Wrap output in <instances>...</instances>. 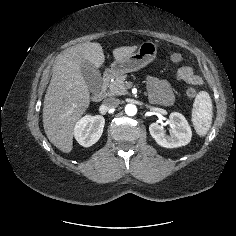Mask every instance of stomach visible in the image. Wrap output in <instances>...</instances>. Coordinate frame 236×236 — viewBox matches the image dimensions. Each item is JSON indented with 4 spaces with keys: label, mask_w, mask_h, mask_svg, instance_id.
<instances>
[{
    "label": "stomach",
    "mask_w": 236,
    "mask_h": 236,
    "mask_svg": "<svg viewBox=\"0 0 236 236\" xmlns=\"http://www.w3.org/2000/svg\"><path fill=\"white\" fill-rule=\"evenodd\" d=\"M157 54V45L152 41L143 42L137 52L121 58L115 59L111 64L110 72L114 76L137 71L151 63Z\"/></svg>",
    "instance_id": "0dacf381"
}]
</instances>
